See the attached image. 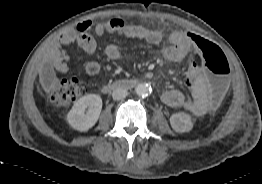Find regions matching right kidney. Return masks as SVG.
Wrapping results in <instances>:
<instances>
[{
    "instance_id": "ca27d5eb",
    "label": "right kidney",
    "mask_w": 262,
    "mask_h": 184,
    "mask_svg": "<svg viewBox=\"0 0 262 184\" xmlns=\"http://www.w3.org/2000/svg\"><path fill=\"white\" fill-rule=\"evenodd\" d=\"M101 109L102 99L99 95H85L74 103L67 114L68 123L78 131H88L97 122Z\"/></svg>"
}]
</instances>
